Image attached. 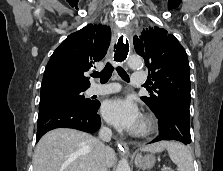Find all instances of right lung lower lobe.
Wrapping results in <instances>:
<instances>
[{
	"mask_svg": "<svg viewBox=\"0 0 223 171\" xmlns=\"http://www.w3.org/2000/svg\"><path fill=\"white\" fill-rule=\"evenodd\" d=\"M99 106L98 101L90 108L75 103H55L39 109L36 141L46 132L60 127L96 132L101 125L97 114Z\"/></svg>",
	"mask_w": 223,
	"mask_h": 171,
	"instance_id": "obj_1",
	"label": "right lung lower lobe"
}]
</instances>
